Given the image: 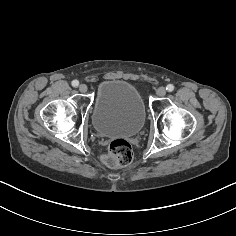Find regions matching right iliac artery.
<instances>
[{
  "instance_id": "right-iliac-artery-1",
  "label": "right iliac artery",
  "mask_w": 236,
  "mask_h": 236,
  "mask_svg": "<svg viewBox=\"0 0 236 236\" xmlns=\"http://www.w3.org/2000/svg\"><path fill=\"white\" fill-rule=\"evenodd\" d=\"M78 85H79L78 80H73V81H72V86H73V87H77Z\"/></svg>"
}]
</instances>
